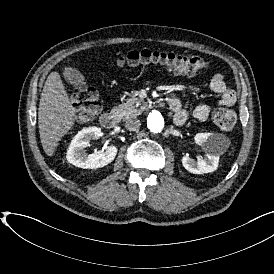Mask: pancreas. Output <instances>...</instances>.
Listing matches in <instances>:
<instances>
[{
	"instance_id": "1",
	"label": "pancreas",
	"mask_w": 274,
	"mask_h": 274,
	"mask_svg": "<svg viewBox=\"0 0 274 274\" xmlns=\"http://www.w3.org/2000/svg\"><path fill=\"white\" fill-rule=\"evenodd\" d=\"M145 107L146 106L142 105L137 98L132 97L126 102L121 103L118 107L113 108L111 112L115 117L127 120L141 115Z\"/></svg>"
}]
</instances>
